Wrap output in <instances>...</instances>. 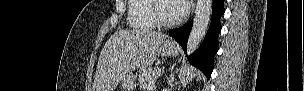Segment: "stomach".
Returning a JSON list of instances; mask_svg holds the SVG:
<instances>
[{
    "label": "stomach",
    "mask_w": 304,
    "mask_h": 91,
    "mask_svg": "<svg viewBox=\"0 0 304 91\" xmlns=\"http://www.w3.org/2000/svg\"><path fill=\"white\" fill-rule=\"evenodd\" d=\"M179 53L178 45L171 39L164 40L158 50L160 56L175 57ZM124 91H134L136 88V77L132 73H128L122 80Z\"/></svg>",
    "instance_id": "0dacf381"
}]
</instances>
